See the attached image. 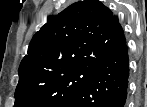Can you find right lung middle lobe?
I'll return each instance as SVG.
<instances>
[{
    "label": "right lung middle lobe",
    "instance_id": "1",
    "mask_svg": "<svg viewBox=\"0 0 147 107\" xmlns=\"http://www.w3.org/2000/svg\"><path fill=\"white\" fill-rule=\"evenodd\" d=\"M96 69L78 65L19 76L14 107H59L86 84Z\"/></svg>",
    "mask_w": 147,
    "mask_h": 107
}]
</instances>
